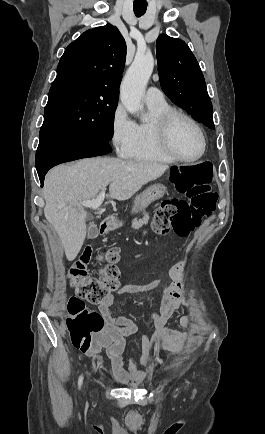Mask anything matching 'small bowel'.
<instances>
[{"label":"small bowel","instance_id":"obj_1","mask_svg":"<svg viewBox=\"0 0 265 434\" xmlns=\"http://www.w3.org/2000/svg\"><path fill=\"white\" fill-rule=\"evenodd\" d=\"M185 266L186 261L181 259L171 267L169 271L171 283L164 280H154L146 284L126 285L117 292L119 295H125L148 293L156 289L162 291L159 309L148 315L154 323L155 331L151 336L141 334L142 351L139 358L130 357L127 360V365H125L123 353L126 348V338L139 332L136 323L131 318L117 315L111 309L114 295H110L99 304L98 311L103 317L105 325L101 331L93 335L90 349L87 352H80L81 355L95 357L96 363L99 364L102 361L99 358V353L102 349H106L114 378L121 383L132 378V385H137L144 375L140 368H147L160 349H182L190 338L192 317L182 315L179 318V324L185 331L170 329L166 327V323L175 310L180 306L188 305L184 280Z\"/></svg>","mask_w":265,"mask_h":434}]
</instances>
